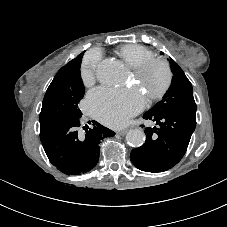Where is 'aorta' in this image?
Masks as SVG:
<instances>
[{"instance_id": "aorta-1", "label": "aorta", "mask_w": 227, "mask_h": 227, "mask_svg": "<svg viewBox=\"0 0 227 227\" xmlns=\"http://www.w3.org/2000/svg\"><path fill=\"white\" fill-rule=\"evenodd\" d=\"M121 64L112 58L101 61L97 68V77L101 83L114 85L121 80ZM127 142L133 147H140L145 142V134L140 129H131L126 134Z\"/></svg>"}]
</instances>
